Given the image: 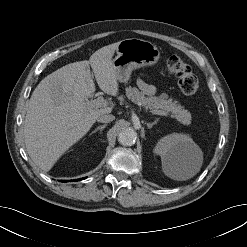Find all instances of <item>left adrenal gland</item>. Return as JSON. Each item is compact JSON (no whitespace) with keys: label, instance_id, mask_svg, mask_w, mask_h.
<instances>
[{"label":"left adrenal gland","instance_id":"1","mask_svg":"<svg viewBox=\"0 0 247 247\" xmlns=\"http://www.w3.org/2000/svg\"><path fill=\"white\" fill-rule=\"evenodd\" d=\"M158 120H155L154 122L152 123H147V127L150 129L153 127V125H155L157 123Z\"/></svg>","mask_w":247,"mask_h":247}]
</instances>
